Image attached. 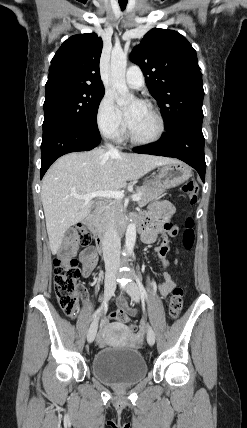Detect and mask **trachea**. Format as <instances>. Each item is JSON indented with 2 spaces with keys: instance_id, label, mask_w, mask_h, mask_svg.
Returning <instances> with one entry per match:
<instances>
[{
  "instance_id": "3493384b",
  "label": "trachea",
  "mask_w": 247,
  "mask_h": 428,
  "mask_svg": "<svg viewBox=\"0 0 247 428\" xmlns=\"http://www.w3.org/2000/svg\"><path fill=\"white\" fill-rule=\"evenodd\" d=\"M119 6H120L121 10L124 11L126 9L127 2L126 3L119 2Z\"/></svg>"
}]
</instances>
